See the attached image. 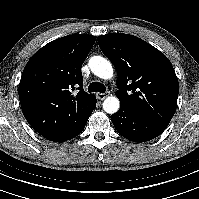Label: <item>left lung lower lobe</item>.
Listing matches in <instances>:
<instances>
[{
  "mask_svg": "<svg viewBox=\"0 0 199 199\" xmlns=\"http://www.w3.org/2000/svg\"><path fill=\"white\" fill-rule=\"evenodd\" d=\"M111 120L120 135L133 142H146L159 136L168 124L138 114L121 104Z\"/></svg>",
  "mask_w": 199,
  "mask_h": 199,
  "instance_id": "1",
  "label": "left lung lower lobe"
}]
</instances>
